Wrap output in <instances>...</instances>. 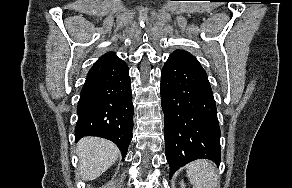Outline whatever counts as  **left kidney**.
I'll list each match as a JSON object with an SVG mask.
<instances>
[{"instance_id":"obj_1","label":"left kidney","mask_w":292,"mask_h":188,"mask_svg":"<svg viewBox=\"0 0 292 188\" xmlns=\"http://www.w3.org/2000/svg\"><path fill=\"white\" fill-rule=\"evenodd\" d=\"M181 188H185V184L183 183V181L180 183Z\"/></svg>"}]
</instances>
